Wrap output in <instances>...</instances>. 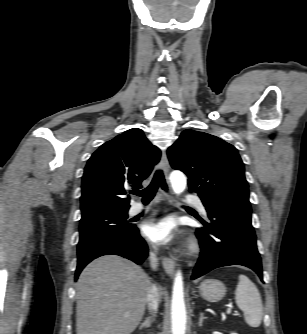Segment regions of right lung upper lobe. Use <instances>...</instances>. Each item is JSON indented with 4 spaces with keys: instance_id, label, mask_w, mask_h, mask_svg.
<instances>
[{
    "instance_id": "obj_1",
    "label": "right lung upper lobe",
    "mask_w": 307,
    "mask_h": 334,
    "mask_svg": "<svg viewBox=\"0 0 307 334\" xmlns=\"http://www.w3.org/2000/svg\"><path fill=\"white\" fill-rule=\"evenodd\" d=\"M160 150L142 130L125 131L104 143L88 160L82 177V216L102 211L127 212L128 187H141L159 162Z\"/></svg>"
}]
</instances>
